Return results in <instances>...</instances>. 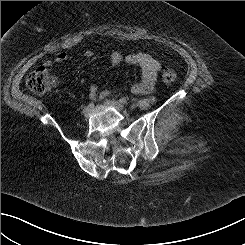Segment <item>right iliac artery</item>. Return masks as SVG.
<instances>
[{"instance_id":"right-iliac-artery-1","label":"right iliac artery","mask_w":245,"mask_h":245,"mask_svg":"<svg viewBox=\"0 0 245 245\" xmlns=\"http://www.w3.org/2000/svg\"><path fill=\"white\" fill-rule=\"evenodd\" d=\"M90 108H93L94 107V101L92 100L89 105H88Z\"/></svg>"}]
</instances>
